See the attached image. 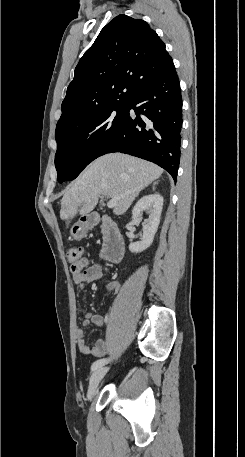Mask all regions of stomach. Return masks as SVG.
Masks as SVG:
<instances>
[{
  "label": "stomach",
  "instance_id": "obj_1",
  "mask_svg": "<svg viewBox=\"0 0 245 457\" xmlns=\"http://www.w3.org/2000/svg\"><path fill=\"white\" fill-rule=\"evenodd\" d=\"M92 224H94V222L89 220V216H86L85 220H78V222H75L70 231L73 239H83L87 231L91 229Z\"/></svg>",
  "mask_w": 245,
  "mask_h": 457
}]
</instances>
